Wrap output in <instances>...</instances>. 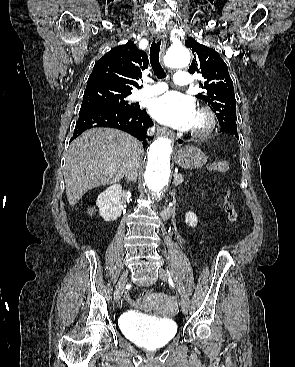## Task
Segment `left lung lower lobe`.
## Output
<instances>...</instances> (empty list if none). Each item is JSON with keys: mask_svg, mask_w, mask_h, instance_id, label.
<instances>
[{"mask_svg": "<svg viewBox=\"0 0 295 367\" xmlns=\"http://www.w3.org/2000/svg\"><path fill=\"white\" fill-rule=\"evenodd\" d=\"M220 131L221 132H224V133H228V134H231L233 136H235L236 138L239 139L238 137V133H237V128L236 127H233V126H224V127H221L220 128ZM180 143L182 142L181 140H178Z\"/></svg>", "mask_w": 295, "mask_h": 367, "instance_id": "left-lung-lower-lobe-1", "label": "left lung lower lobe"}]
</instances>
